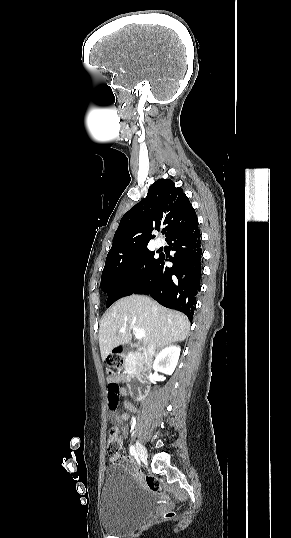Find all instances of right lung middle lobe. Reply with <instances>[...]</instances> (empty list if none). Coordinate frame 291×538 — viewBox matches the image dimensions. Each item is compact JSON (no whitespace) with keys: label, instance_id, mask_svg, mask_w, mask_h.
<instances>
[{"label":"right lung middle lobe","instance_id":"dd1d6c3e","mask_svg":"<svg viewBox=\"0 0 291 538\" xmlns=\"http://www.w3.org/2000/svg\"><path fill=\"white\" fill-rule=\"evenodd\" d=\"M154 254L144 248L106 259L101 287L108 295L107 307L116 300L133 294L144 283L159 259L154 258Z\"/></svg>","mask_w":291,"mask_h":538}]
</instances>
